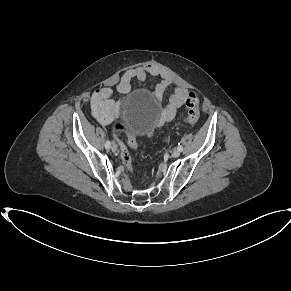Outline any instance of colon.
<instances>
[{
	"label": "colon",
	"instance_id": "obj_1",
	"mask_svg": "<svg viewBox=\"0 0 291 291\" xmlns=\"http://www.w3.org/2000/svg\"><path fill=\"white\" fill-rule=\"evenodd\" d=\"M199 97L196 93L190 92L186 99V113L185 119L189 122H195L199 118ZM114 131L116 133L124 132L127 135V144L122 141H119L120 145V155L123 164L129 171H133L132 162L129 150H136L137 140L136 137L124 131L122 124L116 123L114 125Z\"/></svg>",
	"mask_w": 291,
	"mask_h": 291
}]
</instances>
